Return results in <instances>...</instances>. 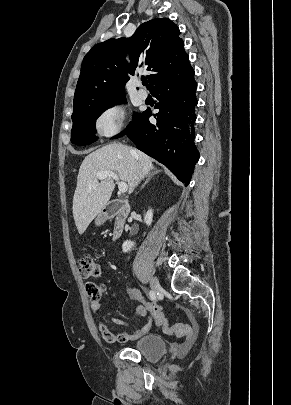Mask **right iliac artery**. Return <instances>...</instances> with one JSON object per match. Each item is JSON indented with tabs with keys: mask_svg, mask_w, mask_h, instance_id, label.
<instances>
[{
	"mask_svg": "<svg viewBox=\"0 0 291 405\" xmlns=\"http://www.w3.org/2000/svg\"><path fill=\"white\" fill-rule=\"evenodd\" d=\"M148 295H149V298H150L151 300H153V301H154V300L156 299V295H155V293H154V292L149 291Z\"/></svg>",
	"mask_w": 291,
	"mask_h": 405,
	"instance_id": "right-iliac-artery-1",
	"label": "right iliac artery"
}]
</instances>
